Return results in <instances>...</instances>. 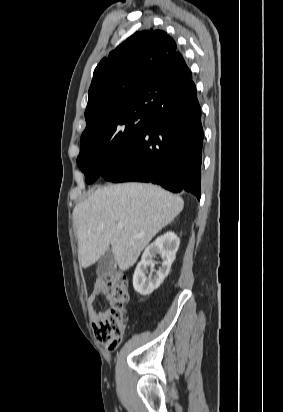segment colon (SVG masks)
Returning <instances> with one entry per match:
<instances>
[{"label":"colon","mask_w":283,"mask_h":412,"mask_svg":"<svg viewBox=\"0 0 283 412\" xmlns=\"http://www.w3.org/2000/svg\"><path fill=\"white\" fill-rule=\"evenodd\" d=\"M126 284L121 274L107 277L105 285L110 308L93 323L96 340L109 351L117 349L123 340L128 303Z\"/></svg>","instance_id":"colon-1"}]
</instances>
